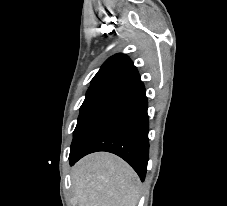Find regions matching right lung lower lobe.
<instances>
[{
  "label": "right lung lower lobe",
  "instance_id": "1",
  "mask_svg": "<svg viewBox=\"0 0 227 206\" xmlns=\"http://www.w3.org/2000/svg\"><path fill=\"white\" fill-rule=\"evenodd\" d=\"M146 91L141 80L97 118L94 125L70 154V165L96 152L114 153L128 162L144 181L149 154Z\"/></svg>",
  "mask_w": 227,
  "mask_h": 206
}]
</instances>
